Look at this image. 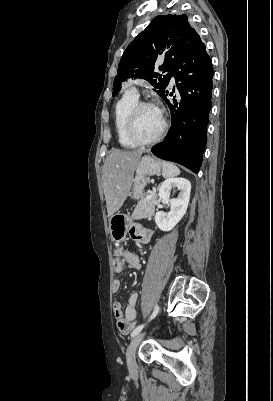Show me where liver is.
I'll return each instance as SVG.
<instances>
[{"mask_svg": "<svg viewBox=\"0 0 273 401\" xmlns=\"http://www.w3.org/2000/svg\"><path fill=\"white\" fill-rule=\"evenodd\" d=\"M141 150H119L112 148L103 166V190L107 217L121 209L132 186L133 172L137 168Z\"/></svg>", "mask_w": 273, "mask_h": 401, "instance_id": "1", "label": "liver"}]
</instances>
